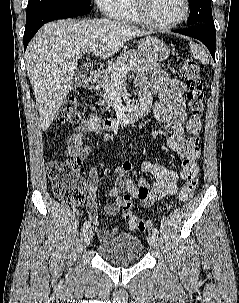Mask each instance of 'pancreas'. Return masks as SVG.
Returning a JSON list of instances; mask_svg holds the SVG:
<instances>
[{
  "instance_id": "cf45deb5",
  "label": "pancreas",
  "mask_w": 239,
  "mask_h": 303,
  "mask_svg": "<svg viewBox=\"0 0 239 303\" xmlns=\"http://www.w3.org/2000/svg\"><path fill=\"white\" fill-rule=\"evenodd\" d=\"M130 62L135 63L132 71L138 73L148 74L159 70L162 67L155 61L144 58L142 54L136 50H130L122 53L111 65L108 66L107 69L102 72L98 87L102 88L104 93L102 94L103 100L97 102L98 106L105 107L106 110H109V108L113 106L112 91L115 83L113 72L121 70Z\"/></svg>"
}]
</instances>
